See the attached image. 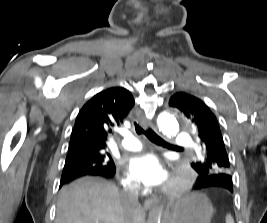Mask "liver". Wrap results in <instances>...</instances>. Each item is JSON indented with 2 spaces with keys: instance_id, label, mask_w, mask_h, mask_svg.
<instances>
[{
  "instance_id": "1",
  "label": "liver",
  "mask_w": 267,
  "mask_h": 223,
  "mask_svg": "<svg viewBox=\"0 0 267 223\" xmlns=\"http://www.w3.org/2000/svg\"><path fill=\"white\" fill-rule=\"evenodd\" d=\"M132 223L144 222V211L136 206ZM122 193L101 178L85 177L61 189L55 223H125Z\"/></svg>"
}]
</instances>
